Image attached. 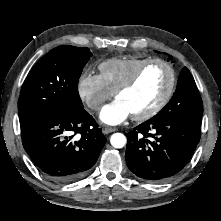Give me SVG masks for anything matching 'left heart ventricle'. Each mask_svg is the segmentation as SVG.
<instances>
[{
    "instance_id": "left-heart-ventricle-1",
    "label": "left heart ventricle",
    "mask_w": 221,
    "mask_h": 221,
    "mask_svg": "<svg viewBox=\"0 0 221 221\" xmlns=\"http://www.w3.org/2000/svg\"><path fill=\"white\" fill-rule=\"evenodd\" d=\"M169 74L165 67L154 64L148 67L137 83L121 93V100L130 110L131 115L140 114L151 108L165 92Z\"/></svg>"
}]
</instances>
